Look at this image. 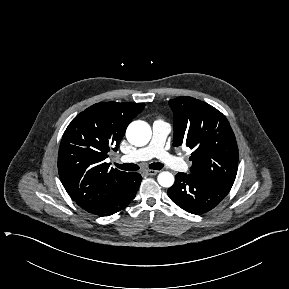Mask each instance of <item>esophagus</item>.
<instances>
[{"label": "esophagus", "mask_w": 289, "mask_h": 289, "mask_svg": "<svg viewBox=\"0 0 289 289\" xmlns=\"http://www.w3.org/2000/svg\"><path fill=\"white\" fill-rule=\"evenodd\" d=\"M158 173H159V171H157V170H145V174L149 175V176H153V175H156Z\"/></svg>", "instance_id": "obj_1"}]
</instances>
